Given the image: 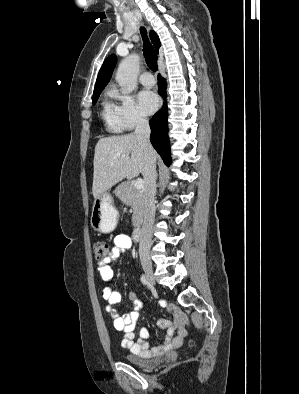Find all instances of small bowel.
Returning <instances> with one entry per match:
<instances>
[{
  "label": "small bowel",
  "mask_w": 299,
  "mask_h": 394,
  "mask_svg": "<svg viewBox=\"0 0 299 394\" xmlns=\"http://www.w3.org/2000/svg\"><path fill=\"white\" fill-rule=\"evenodd\" d=\"M131 247L132 238L130 236L119 234L114 237V245L110 250L109 257L98 266V271L103 281L110 282L113 280L114 272L110 264ZM102 295L107 302V310L112 317L114 328L124 335L122 347L129 349L133 354L141 355L145 358L160 356L166 352L179 348L184 338L188 335V330L186 328L187 318L185 315L178 307L161 302L167 311L174 317V320L159 322V327L165 331L164 342L160 346L150 347L147 342L149 331L146 327L140 330L138 338H136L134 333L135 324L139 318V309L141 307V303L137 299L136 294L134 292H130L129 294L130 299L135 303L136 309L122 316L119 315L116 309V305L121 300L120 293L107 286L103 289Z\"/></svg>",
  "instance_id": "obj_1"
}]
</instances>
